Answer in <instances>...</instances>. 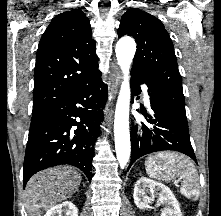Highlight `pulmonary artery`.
<instances>
[{
  "label": "pulmonary artery",
  "instance_id": "obj_1",
  "mask_svg": "<svg viewBox=\"0 0 221 216\" xmlns=\"http://www.w3.org/2000/svg\"><path fill=\"white\" fill-rule=\"evenodd\" d=\"M144 99H145L146 104L150 103V97H149L148 93L146 92V90H145V93H144Z\"/></svg>",
  "mask_w": 221,
  "mask_h": 216
}]
</instances>
